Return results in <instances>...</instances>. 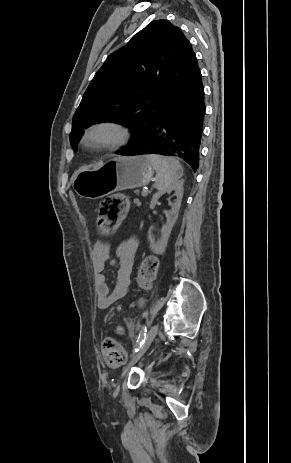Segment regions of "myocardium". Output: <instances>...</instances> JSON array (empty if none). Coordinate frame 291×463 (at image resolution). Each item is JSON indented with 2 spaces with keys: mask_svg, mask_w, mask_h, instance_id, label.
<instances>
[{
  "mask_svg": "<svg viewBox=\"0 0 291 463\" xmlns=\"http://www.w3.org/2000/svg\"><path fill=\"white\" fill-rule=\"evenodd\" d=\"M130 138V130L124 123L102 120L84 129L81 144L92 150H116L127 145Z\"/></svg>",
  "mask_w": 291,
  "mask_h": 463,
  "instance_id": "f54148a6",
  "label": "myocardium"
}]
</instances>
